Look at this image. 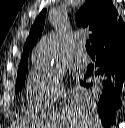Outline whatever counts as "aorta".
Here are the masks:
<instances>
[{
    "instance_id": "1",
    "label": "aorta",
    "mask_w": 125,
    "mask_h": 128,
    "mask_svg": "<svg viewBox=\"0 0 125 128\" xmlns=\"http://www.w3.org/2000/svg\"><path fill=\"white\" fill-rule=\"evenodd\" d=\"M58 46V38L55 35L44 37L37 45L33 60L37 64L49 65Z\"/></svg>"
}]
</instances>
